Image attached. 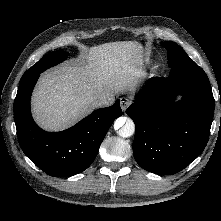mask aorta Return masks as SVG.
<instances>
[{
    "label": "aorta",
    "instance_id": "aorta-1",
    "mask_svg": "<svg viewBox=\"0 0 221 221\" xmlns=\"http://www.w3.org/2000/svg\"><path fill=\"white\" fill-rule=\"evenodd\" d=\"M114 129L123 138L131 137L135 132V124L132 119L120 117L115 121Z\"/></svg>",
    "mask_w": 221,
    "mask_h": 221
}]
</instances>
